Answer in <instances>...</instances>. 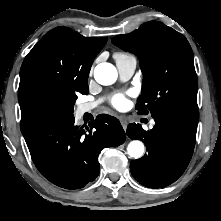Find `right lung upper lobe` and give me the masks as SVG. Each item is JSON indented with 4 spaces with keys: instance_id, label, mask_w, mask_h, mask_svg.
<instances>
[{
    "instance_id": "right-lung-upper-lobe-1",
    "label": "right lung upper lobe",
    "mask_w": 221,
    "mask_h": 221,
    "mask_svg": "<svg viewBox=\"0 0 221 221\" xmlns=\"http://www.w3.org/2000/svg\"><path fill=\"white\" fill-rule=\"evenodd\" d=\"M107 38H87L72 29L49 31L25 57L20 70L18 100L21 132L40 121L38 104L67 85L87 82L94 58Z\"/></svg>"
}]
</instances>
